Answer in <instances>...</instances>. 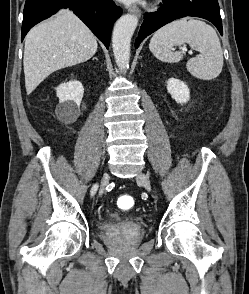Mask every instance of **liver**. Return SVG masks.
I'll return each mask as SVG.
<instances>
[{
    "label": "liver",
    "mask_w": 249,
    "mask_h": 294,
    "mask_svg": "<svg viewBox=\"0 0 249 294\" xmlns=\"http://www.w3.org/2000/svg\"><path fill=\"white\" fill-rule=\"evenodd\" d=\"M97 47L94 34L68 9L33 27L23 58L27 94L53 72L89 60Z\"/></svg>",
    "instance_id": "6515ba94"
}]
</instances>
